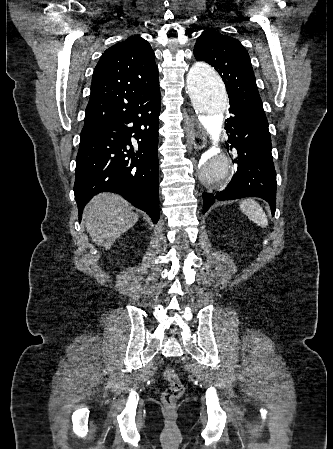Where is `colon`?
<instances>
[{
	"instance_id": "obj_1",
	"label": "colon",
	"mask_w": 333,
	"mask_h": 449,
	"mask_svg": "<svg viewBox=\"0 0 333 449\" xmlns=\"http://www.w3.org/2000/svg\"><path fill=\"white\" fill-rule=\"evenodd\" d=\"M163 377L168 382V387L162 395V402L166 407H174L184 392V385L182 384L178 374L171 368H166L163 371Z\"/></svg>"
}]
</instances>
